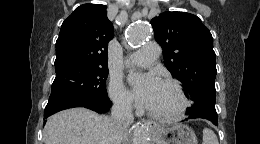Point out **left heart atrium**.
<instances>
[{
  "instance_id": "1",
  "label": "left heart atrium",
  "mask_w": 260,
  "mask_h": 144,
  "mask_svg": "<svg viewBox=\"0 0 260 144\" xmlns=\"http://www.w3.org/2000/svg\"><path fill=\"white\" fill-rule=\"evenodd\" d=\"M130 82L136 98L145 106H149L157 91L159 81L154 77L132 76Z\"/></svg>"
}]
</instances>
